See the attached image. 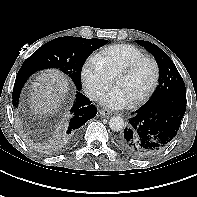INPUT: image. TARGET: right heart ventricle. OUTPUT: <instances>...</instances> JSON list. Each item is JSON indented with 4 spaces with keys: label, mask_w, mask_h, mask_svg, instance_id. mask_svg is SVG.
Segmentation results:
<instances>
[{
    "label": "right heart ventricle",
    "mask_w": 197,
    "mask_h": 197,
    "mask_svg": "<svg viewBox=\"0 0 197 197\" xmlns=\"http://www.w3.org/2000/svg\"><path fill=\"white\" fill-rule=\"evenodd\" d=\"M142 56H145V53L134 45L115 44L102 49L94 58L113 78L120 69Z\"/></svg>",
    "instance_id": "obj_1"
}]
</instances>
